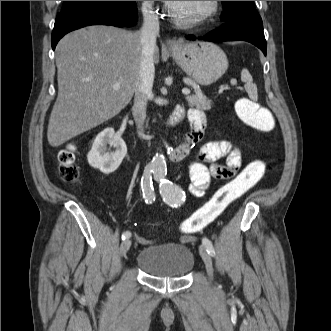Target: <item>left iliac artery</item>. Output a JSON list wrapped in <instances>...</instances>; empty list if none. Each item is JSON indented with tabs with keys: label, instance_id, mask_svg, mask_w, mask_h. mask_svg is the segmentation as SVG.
<instances>
[{
	"label": "left iliac artery",
	"instance_id": "44dca946",
	"mask_svg": "<svg viewBox=\"0 0 331 331\" xmlns=\"http://www.w3.org/2000/svg\"><path fill=\"white\" fill-rule=\"evenodd\" d=\"M166 174L167 172L164 170H156L154 177L156 181L160 183V193L164 199V202L172 207H178L185 201V192L182 191V189L177 185L166 179ZM202 243L210 255L215 254L214 247L209 239L203 238Z\"/></svg>",
	"mask_w": 331,
	"mask_h": 331
}]
</instances>
